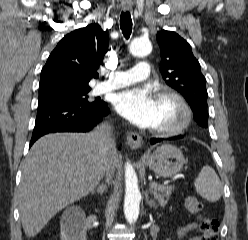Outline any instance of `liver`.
Returning <instances> with one entry per match:
<instances>
[{"mask_svg":"<svg viewBox=\"0 0 248 240\" xmlns=\"http://www.w3.org/2000/svg\"><path fill=\"white\" fill-rule=\"evenodd\" d=\"M103 127L90 133H55L32 146L22 167L18 190L20 215L27 237L36 236L63 208L88 195L105 173L110 150Z\"/></svg>","mask_w":248,"mask_h":240,"instance_id":"liver-1","label":"liver"}]
</instances>
